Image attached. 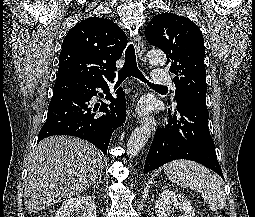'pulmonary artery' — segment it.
<instances>
[{
	"mask_svg": "<svg viewBox=\"0 0 255 217\" xmlns=\"http://www.w3.org/2000/svg\"><path fill=\"white\" fill-rule=\"evenodd\" d=\"M153 80L158 85H167L175 89L172 78L168 74L162 73L159 70H156L153 73Z\"/></svg>",
	"mask_w": 255,
	"mask_h": 217,
	"instance_id": "1",
	"label": "pulmonary artery"
}]
</instances>
